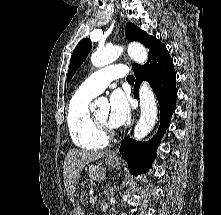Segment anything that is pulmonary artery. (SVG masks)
Instances as JSON below:
<instances>
[{
	"label": "pulmonary artery",
	"instance_id": "pulmonary-artery-1",
	"mask_svg": "<svg viewBox=\"0 0 221 215\" xmlns=\"http://www.w3.org/2000/svg\"><path fill=\"white\" fill-rule=\"evenodd\" d=\"M128 75V68L123 64L111 65L98 70L89 76L81 85L80 90L92 95L99 94L106 88L113 80L126 77Z\"/></svg>",
	"mask_w": 221,
	"mask_h": 215
}]
</instances>
